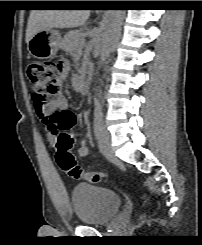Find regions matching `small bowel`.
<instances>
[{
    "label": "small bowel",
    "mask_w": 202,
    "mask_h": 245,
    "mask_svg": "<svg viewBox=\"0 0 202 245\" xmlns=\"http://www.w3.org/2000/svg\"><path fill=\"white\" fill-rule=\"evenodd\" d=\"M65 66H68V61L66 59H62L61 60ZM49 111L54 112V111H63V110H67V102L65 97L60 96L58 97L55 101H53L50 105H49ZM44 123H45V117H44ZM44 130L47 133V137L50 141H53V136L51 134H49L48 129L46 124H44ZM79 155L82 157H85L88 155V147L85 141H83L78 149Z\"/></svg>",
    "instance_id": "small-bowel-1"
}]
</instances>
